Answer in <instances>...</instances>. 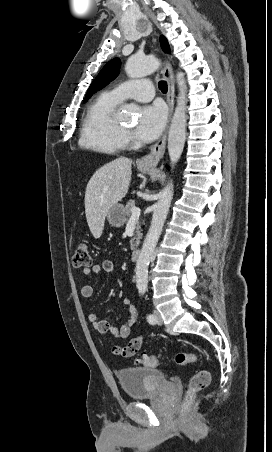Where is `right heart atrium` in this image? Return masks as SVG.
<instances>
[{"mask_svg":"<svg viewBox=\"0 0 272 452\" xmlns=\"http://www.w3.org/2000/svg\"><path fill=\"white\" fill-rule=\"evenodd\" d=\"M125 140H130V136L128 134L125 135Z\"/></svg>","mask_w":272,"mask_h":452,"instance_id":"right-heart-atrium-1","label":"right heart atrium"}]
</instances>
